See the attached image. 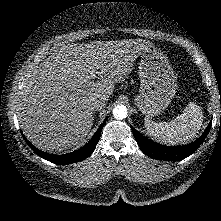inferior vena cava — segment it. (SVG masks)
<instances>
[{"instance_id":"1","label":"inferior vena cava","mask_w":221,"mask_h":221,"mask_svg":"<svg viewBox=\"0 0 221 221\" xmlns=\"http://www.w3.org/2000/svg\"><path fill=\"white\" fill-rule=\"evenodd\" d=\"M105 106H106V101L103 99H98L93 102L92 109L94 111H96V110H100V109L104 108Z\"/></svg>"}]
</instances>
